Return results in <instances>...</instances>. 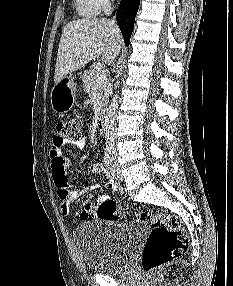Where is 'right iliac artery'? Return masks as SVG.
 <instances>
[{"label":"right iliac artery","instance_id":"82829eb1","mask_svg":"<svg viewBox=\"0 0 233 286\" xmlns=\"http://www.w3.org/2000/svg\"><path fill=\"white\" fill-rule=\"evenodd\" d=\"M112 147L111 146H107L106 149H105V157H104V163H105V166L107 168H110L111 166V163H112Z\"/></svg>","mask_w":233,"mask_h":286}]
</instances>
